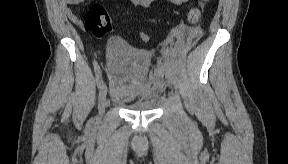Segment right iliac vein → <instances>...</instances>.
<instances>
[{
    "instance_id": "obj_1",
    "label": "right iliac vein",
    "mask_w": 288,
    "mask_h": 164,
    "mask_svg": "<svg viewBox=\"0 0 288 164\" xmlns=\"http://www.w3.org/2000/svg\"><path fill=\"white\" fill-rule=\"evenodd\" d=\"M107 86L106 84H102L99 91V103H98V110L99 115L102 116L105 112V108L107 106Z\"/></svg>"
}]
</instances>
